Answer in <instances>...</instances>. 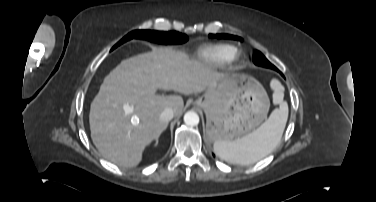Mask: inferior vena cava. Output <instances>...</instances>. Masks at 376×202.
Listing matches in <instances>:
<instances>
[{"label": "inferior vena cava", "instance_id": "inferior-vena-cava-1", "mask_svg": "<svg viewBox=\"0 0 376 202\" xmlns=\"http://www.w3.org/2000/svg\"><path fill=\"white\" fill-rule=\"evenodd\" d=\"M173 117H174V112L171 108L164 109L162 113L160 114V119L165 122L172 120Z\"/></svg>", "mask_w": 376, "mask_h": 202}]
</instances>
